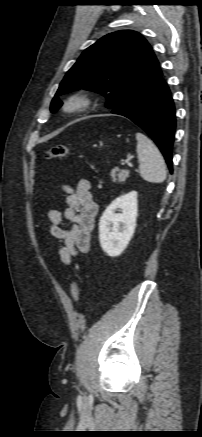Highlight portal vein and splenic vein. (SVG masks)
Returning <instances> with one entry per match:
<instances>
[{
	"mask_svg": "<svg viewBox=\"0 0 202 437\" xmlns=\"http://www.w3.org/2000/svg\"><path fill=\"white\" fill-rule=\"evenodd\" d=\"M128 166L132 167L133 165L130 162H127Z\"/></svg>",
	"mask_w": 202,
	"mask_h": 437,
	"instance_id": "1",
	"label": "portal vein and splenic vein"
}]
</instances>
